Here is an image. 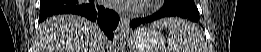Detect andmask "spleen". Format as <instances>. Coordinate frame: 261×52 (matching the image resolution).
<instances>
[{
	"mask_svg": "<svg viewBox=\"0 0 261 52\" xmlns=\"http://www.w3.org/2000/svg\"><path fill=\"white\" fill-rule=\"evenodd\" d=\"M154 27L167 28L171 39L168 52H204L199 48L198 28L183 19L168 18L157 21Z\"/></svg>",
	"mask_w": 261,
	"mask_h": 52,
	"instance_id": "obj_1",
	"label": "spleen"
}]
</instances>
